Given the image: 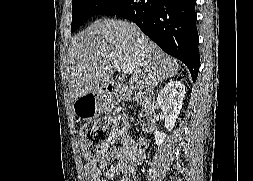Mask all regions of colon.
Masks as SVG:
<instances>
[{"mask_svg":"<svg viewBox=\"0 0 253 181\" xmlns=\"http://www.w3.org/2000/svg\"><path fill=\"white\" fill-rule=\"evenodd\" d=\"M120 118L104 116L85 125L80 133L81 147L89 161L95 160L112 144L115 136L123 129Z\"/></svg>","mask_w":253,"mask_h":181,"instance_id":"1","label":"colon"}]
</instances>
